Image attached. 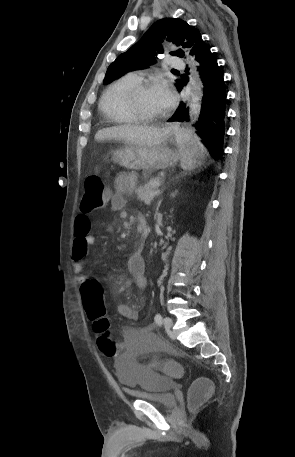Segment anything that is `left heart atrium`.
<instances>
[{
    "label": "left heart atrium",
    "instance_id": "1",
    "mask_svg": "<svg viewBox=\"0 0 295 457\" xmlns=\"http://www.w3.org/2000/svg\"><path fill=\"white\" fill-rule=\"evenodd\" d=\"M154 95L164 110L169 109L175 102L176 96L171 85L165 81L158 82L153 88Z\"/></svg>",
    "mask_w": 295,
    "mask_h": 457
}]
</instances>
